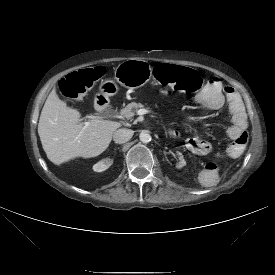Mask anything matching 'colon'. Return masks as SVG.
<instances>
[{"label": "colon", "instance_id": "obj_1", "mask_svg": "<svg viewBox=\"0 0 275 275\" xmlns=\"http://www.w3.org/2000/svg\"><path fill=\"white\" fill-rule=\"evenodd\" d=\"M104 74L105 69L102 66L73 72L62 80L60 90L68 98H78L98 82ZM154 76L160 84L178 92H196L202 87V79L195 70L178 65L160 64L155 67ZM247 141L248 134L246 132L236 139L229 140L226 143L227 155L235 157L241 154Z\"/></svg>", "mask_w": 275, "mask_h": 275}]
</instances>
